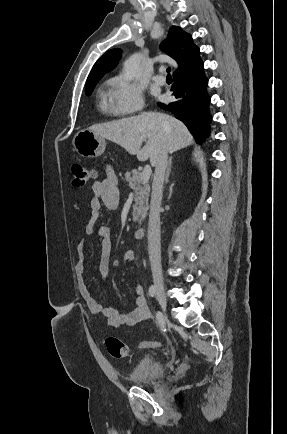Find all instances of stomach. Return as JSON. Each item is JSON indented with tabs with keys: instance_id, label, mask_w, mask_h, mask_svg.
I'll use <instances>...</instances> for the list:
<instances>
[{
	"instance_id": "0dacf381",
	"label": "stomach",
	"mask_w": 287,
	"mask_h": 434,
	"mask_svg": "<svg viewBox=\"0 0 287 434\" xmlns=\"http://www.w3.org/2000/svg\"><path fill=\"white\" fill-rule=\"evenodd\" d=\"M73 145L79 155L95 158L104 153L106 142L90 129H82L74 136Z\"/></svg>"
}]
</instances>
